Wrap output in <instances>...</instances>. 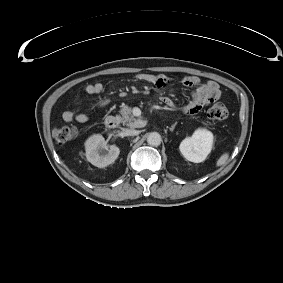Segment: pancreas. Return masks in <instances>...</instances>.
<instances>
[{"mask_svg": "<svg viewBox=\"0 0 283 283\" xmlns=\"http://www.w3.org/2000/svg\"><path fill=\"white\" fill-rule=\"evenodd\" d=\"M121 121L124 125H127L131 128L139 127V119L135 118L132 114V109L128 106H123L121 109Z\"/></svg>", "mask_w": 283, "mask_h": 283, "instance_id": "cf45deb5", "label": "pancreas"}]
</instances>
